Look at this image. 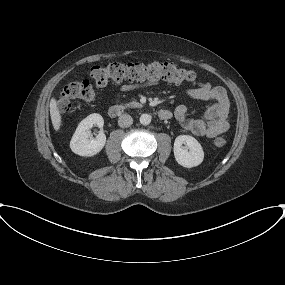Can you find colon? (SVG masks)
<instances>
[{"mask_svg":"<svg viewBox=\"0 0 285 285\" xmlns=\"http://www.w3.org/2000/svg\"><path fill=\"white\" fill-rule=\"evenodd\" d=\"M90 76L98 87L105 86L109 81L123 80H163L175 84L195 83L199 76L188 69L182 68L172 62L152 63H110L105 66L91 68ZM96 97L95 90L89 81H73L64 86L59 99L58 108L65 113L71 109L76 101H92ZM226 140L218 137L214 140L216 147H223Z\"/></svg>","mask_w":285,"mask_h":285,"instance_id":"1","label":"colon"}]
</instances>
